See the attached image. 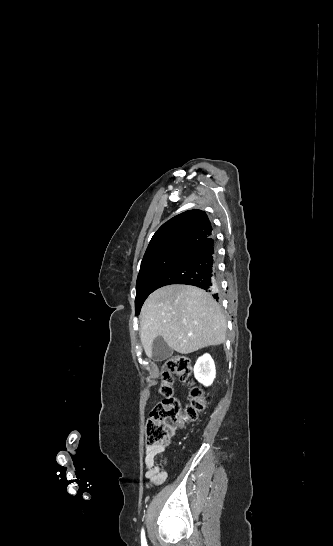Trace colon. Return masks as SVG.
I'll use <instances>...</instances> for the list:
<instances>
[{
  "label": "colon",
  "mask_w": 333,
  "mask_h": 546,
  "mask_svg": "<svg viewBox=\"0 0 333 546\" xmlns=\"http://www.w3.org/2000/svg\"><path fill=\"white\" fill-rule=\"evenodd\" d=\"M162 374L161 401L153 408L146 424V441L149 445H167L173 432L183 427L207 408V400L201 387L192 383V363L185 356H174L164 365ZM189 383L191 400L183 412L180 403L172 394L173 375Z\"/></svg>",
  "instance_id": "colon-1"
}]
</instances>
